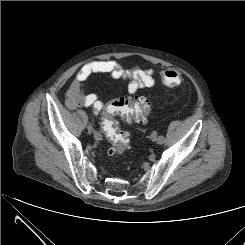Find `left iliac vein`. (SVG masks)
Masks as SVG:
<instances>
[{"mask_svg":"<svg viewBox=\"0 0 245 245\" xmlns=\"http://www.w3.org/2000/svg\"><path fill=\"white\" fill-rule=\"evenodd\" d=\"M157 133L156 132H153L152 134H151V140L152 141H157Z\"/></svg>","mask_w":245,"mask_h":245,"instance_id":"1","label":"left iliac vein"}]
</instances>
